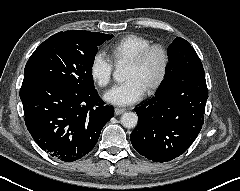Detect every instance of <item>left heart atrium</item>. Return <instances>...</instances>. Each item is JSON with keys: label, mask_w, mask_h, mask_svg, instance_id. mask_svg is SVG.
I'll list each match as a JSON object with an SVG mask.
<instances>
[{"label": "left heart atrium", "mask_w": 240, "mask_h": 191, "mask_svg": "<svg viewBox=\"0 0 240 191\" xmlns=\"http://www.w3.org/2000/svg\"><path fill=\"white\" fill-rule=\"evenodd\" d=\"M146 87L135 77L115 85L105 94V99L116 105H129L139 101L145 94Z\"/></svg>", "instance_id": "1"}]
</instances>
